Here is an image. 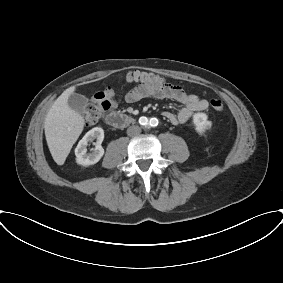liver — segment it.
I'll return each mask as SVG.
<instances>
[{
    "mask_svg": "<svg viewBox=\"0 0 283 283\" xmlns=\"http://www.w3.org/2000/svg\"><path fill=\"white\" fill-rule=\"evenodd\" d=\"M75 89V86L69 87L56 99L44 122L47 145L58 165L64 164L84 128L83 117L68 105V98Z\"/></svg>",
    "mask_w": 283,
    "mask_h": 283,
    "instance_id": "6515ba94",
    "label": "liver"
}]
</instances>
